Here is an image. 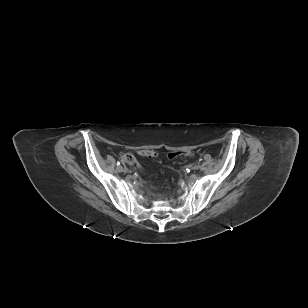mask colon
Returning a JSON list of instances; mask_svg holds the SVG:
<instances>
[{
    "label": "colon",
    "mask_w": 308,
    "mask_h": 308,
    "mask_svg": "<svg viewBox=\"0 0 308 308\" xmlns=\"http://www.w3.org/2000/svg\"><path fill=\"white\" fill-rule=\"evenodd\" d=\"M140 154L145 157H153L155 155V152L153 150L144 149L140 151ZM193 153L191 151H180V152H172L168 155L170 159H174L178 156H192ZM121 159L125 163H129L132 167H137V163L133 159V157L130 154H123L121 156Z\"/></svg>",
    "instance_id": "5ec220e1"
}]
</instances>
